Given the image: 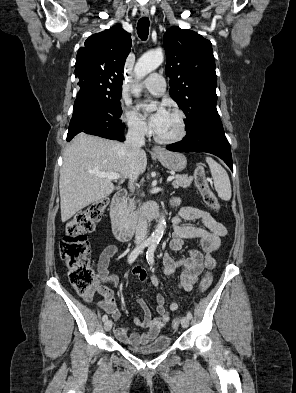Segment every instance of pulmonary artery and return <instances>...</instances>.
Instances as JSON below:
<instances>
[{"mask_svg":"<svg viewBox=\"0 0 296 393\" xmlns=\"http://www.w3.org/2000/svg\"><path fill=\"white\" fill-rule=\"evenodd\" d=\"M143 86L154 95H161L165 92V80L161 74L153 73L148 76Z\"/></svg>","mask_w":296,"mask_h":393,"instance_id":"e3ab8cb5","label":"pulmonary artery"}]
</instances>
